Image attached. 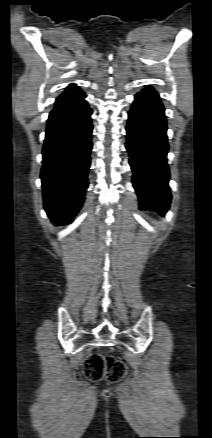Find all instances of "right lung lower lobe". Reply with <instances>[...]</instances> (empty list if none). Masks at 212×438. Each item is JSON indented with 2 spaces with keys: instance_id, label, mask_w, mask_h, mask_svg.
<instances>
[{
  "instance_id": "obj_1",
  "label": "right lung lower lobe",
  "mask_w": 212,
  "mask_h": 438,
  "mask_svg": "<svg viewBox=\"0 0 212 438\" xmlns=\"http://www.w3.org/2000/svg\"><path fill=\"white\" fill-rule=\"evenodd\" d=\"M85 97L56 100L47 122L41 180L44 209L56 224L72 221L88 187L93 127Z\"/></svg>"
}]
</instances>
